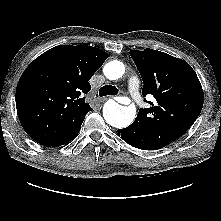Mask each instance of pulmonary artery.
Segmentation results:
<instances>
[{
	"label": "pulmonary artery",
	"instance_id": "pulmonary-artery-1",
	"mask_svg": "<svg viewBox=\"0 0 221 221\" xmlns=\"http://www.w3.org/2000/svg\"><path fill=\"white\" fill-rule=\"evenodd\" d=\"M128 87L131 93L134 95L135 99L139 98L138 89H139V80L137 77H131L128 80Z\"/></svg>",
	"mask_w": 221,
	"mask_h": 221
}]
</instances>
